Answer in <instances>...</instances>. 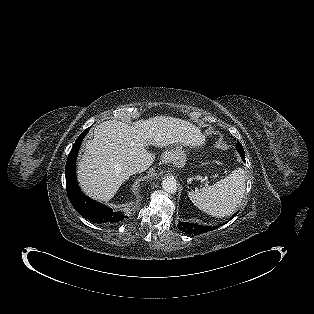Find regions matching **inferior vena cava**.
<instances>
[{"instance_id": "inferior-vena-cava-1", "label": "inferior vena cava", "mask_w": 314, "mask_h": 314, "mask_svg": "<svg viewBox=\"0 0 314 314\" xmlns=\"http://www.w3.org/2000/svg\"><path fill=\"white\" fill-rule=\"evenodd\" d=\"M144 171V168L142 165L140 164H137V163H134V164H130L128 167H127V173L129 175H133V174H136V173H140V172H143Z\"/></svg>"}]
</instances>
